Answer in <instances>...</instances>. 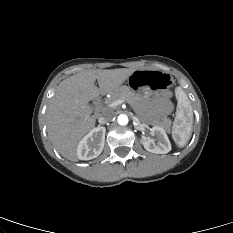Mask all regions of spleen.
I'll use <instances>...</instances> for the list:
<instances>
[{
	"mask_svg": "<svg viewBox=\"0 0 233 233\" xmlns=\"http://www.w3.org/2000/svg\"><path fill=\"white\" fill-rule=\"evenodd\" d=\"M175 94L178 104L172 128V137L179 147H184L191 137L193 111L191 103L181 87L175 89Z\"/></svg>",
	"mask_w": 233,
	"mask_h": 233,
	"instance_id": "3e777b00",
	"label": "spleen"
}]
</instances>
